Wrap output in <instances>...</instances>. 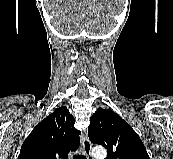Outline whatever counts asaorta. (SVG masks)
I'll use <instances>...</instances> for the list:
<instances>
[{
  "label": "aorta",
  "instance_id": "obj_1",
  "mask_svg": "<svg viewBox=\"0 0 173 159\" xmlns=\"http://www.w3.org/2000/svg\"><path fill=\"white\" fill-rule=\"evenodd\" d=\"M92 156L94 159H105L106 150L103 147H94L92 150Z\"/></svg>",
  "mask_w": 173,
  "mask_h": 159
}]
</instances>
